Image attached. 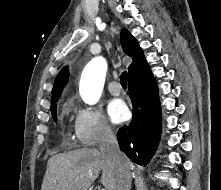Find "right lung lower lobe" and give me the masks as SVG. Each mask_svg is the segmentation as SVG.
Instances as JSON below:
<instances>
[{
  "instance_id": "1",
  "label": "right lung lower lobe",
  "mask_w": 221,
  "mask_h": 190,
  "mask_svg": "<svg viewBox=\"0 0 221 190\" xmlns=\"http://www.w3.org/2000/svg\"><path fill=\"white\" fill-rule=\"evenodd\" d=\"M133 119L118 130L120 149L136 164L146 165L154 155L161 134V108L153 74L128 84Z\"/></svg>"
}]
</instances>
